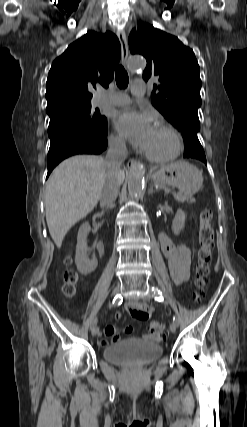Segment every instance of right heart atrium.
<instances>
[{
    "instance_id": "1",
    "label": "right heart atrium",
    "mask_w": 247,
    "mask_h": 427,
    "mask_svg": "<svg viewBox=\"0 0 247 427\" xmlns=\"http://www.w3.org/2000/svg\"><path fill=\"white\" fill-rule=\"evenodd\" d=\"M109 145L111 146L112 149L120 152L124 151L126 148L124 140L115 134L110 135Z\"/></svg>"
}]
</instances>
